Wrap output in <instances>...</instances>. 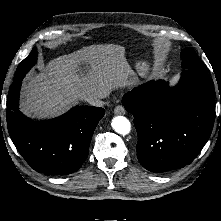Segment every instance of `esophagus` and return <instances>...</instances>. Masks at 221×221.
I'll list each match as a JSON object with an SVG mask.
<instances>
[{
    "label": "esophagus",
    "instance_id": "34e87169",
    "mask_svg": "<svg viewBox=\"0 0 221 221\" xmlns=\"http://www.w3.org/2000/svg\"><path fill=\"white\" fill-rule=\"evenodd\" d=\"M125 108L122 105H117L114 109V113L116 115H124L125 114Z\"/></svg>",
    "mask_w": 221,
    "mask_h": 221
}]
</instances>
